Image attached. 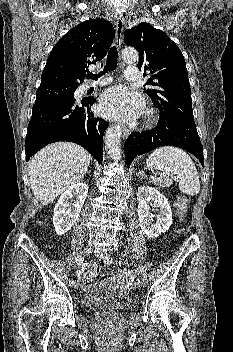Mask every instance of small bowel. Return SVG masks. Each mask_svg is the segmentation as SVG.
Segmentation results:
<instances>
[{
    "label": "small bowel",
    "instance_id": "1",
    "mask_svg": "<svg viewBox=\"0 0 233 352\" xmlns=\"http://www.w3.org/2000/svg\"><path fill=\"white\" fill-rule=\"evenodd\" d=\"M77 277L79 278V279H81L82 277H83V275H84V270H83V268L82 267H80L79 269H78V271H77Z\"/></svg>",
    "mask_w": 233,
    "mask_h": 352
}]
</instances>
